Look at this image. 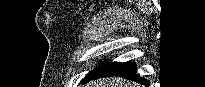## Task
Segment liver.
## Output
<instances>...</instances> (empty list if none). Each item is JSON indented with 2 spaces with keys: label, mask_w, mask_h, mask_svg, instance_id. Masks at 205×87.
<instances>
[{
  "label": "liver",
  "mask_w": 205,
  "mask_h": 87,
  "mask_svg": "<svg viewBox=\"0 0 205 87\" xmlns=\"http://www.w3.org/2000/svg\"><path fill=\"white\" fill-rule=\"evenodd\" d=\"M85 87H140V85L122 78H102L89 82Z\"/></svg>",
  "instance_id": "6515ba94"
}]
</instances>
